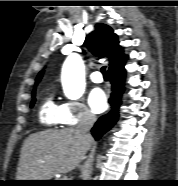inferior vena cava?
Wrapping results in <instances>:
<instances>
[{
  "instance_id": "1",
  "label": "inferior vena cava",
  "mask_w": 178,
  "mask_h": 186,
  "mask_svg": "<svg viewBox=\"0 0 178 186\" xmlns=\"http://www.w3.org/2000/svg\"><path fill=\"white\" fill-rule=\"evenodd\" d=\"M95 121V115H93L90 111H86L76 129L84 136L91 137L90 129L93 127Z\"/></svg>"
}]
</instances>
